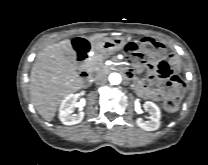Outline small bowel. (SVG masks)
I'll list each match as a JSON object with an SVG mask.
<instances>
[{
    "label": "small bowel",
    "instance_id": "c3829d8e",
    "mask_svg": "<svg viewBox=\"0 0 208 165\" xmlns=\"http://www.w3.org/2000/svg\"><path fill=\"white\" fill-rule=\"evenodd\" d=\"M150 85L137 81L136 90L143 97L161 100L171 97L174 92H181L186 85L187 77L182 70L181 58L176 52H167L153 67L148 75Z\"/></svg>",
    "mask_w": 208,
    "mask_h": 165
}]
</instances>
